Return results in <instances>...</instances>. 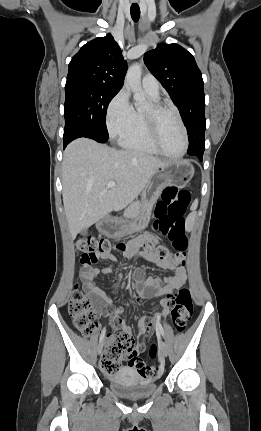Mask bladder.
<instances>
[{"label":"bladder","instance_id":"31cf9c89","mask_svg":"<svg viewBox=\"0 0 261 431\" xmlns=\"http://www.w3.org/2000/svg\"><path fill=\"white\" fill-rule=\"evenodd\" d=\"M110 389L117 395L138 399L148 397L157 388V383L153 379H144L137 372L129 367H124L108 378Z\"/></svg>","mask_w":261,"mask_h":431}]
</instances>
